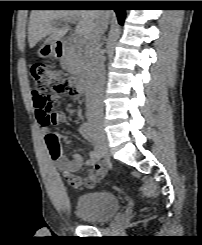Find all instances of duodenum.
<instances>
[{
  "mask_svg": "<svg viewBox=\"0 0 202 245\" xmlns=\"http://www.w3.org/2000/svg\"><path fill=\"white\" fill-rule=\"evenodd\" d=\"M65 43L57 41L54 48V53L57 59L63 58ZM75 87L80 95H88L90 93L89 82L85 77H81L76 80Z\"/></svg>",
  "mask_w": 202,
  "mask_h": 245,
  "instance_id": "obj_1",
  "label": "duodenum"
}]
</instances>
